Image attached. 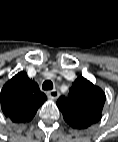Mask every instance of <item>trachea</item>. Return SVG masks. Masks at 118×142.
<instances>
[{"label": "trachea", "mask_w": 118, "mask_h": 142, "mask_svg": "<svg viewBox=\"0 0 118 142\" xmlns=\"http://www.w3.org/2000/svg\"><path fill=\"white\" fill-rule=\"evenodd\" d=\"M43 90H51L53 89V83L50 80H46L42 85Z\"/></svg>", "instance_id": "1"}]
</instances>
